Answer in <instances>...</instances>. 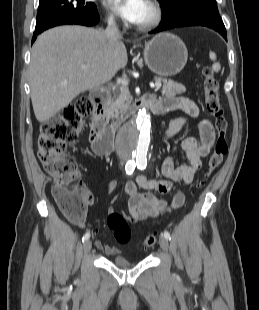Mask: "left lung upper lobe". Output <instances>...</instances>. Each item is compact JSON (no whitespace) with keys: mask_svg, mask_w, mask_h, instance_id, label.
Segmentation results:
<instances>
[{"mask_svg":"<svg viewBox=\"0 0 259 310\" xmlns=\"http://www.w3.org/2000/svg\"><path fill=\"white\" fill-rule=\"evenodd\" d=\"M164 8L161 24L174 23L192 16L220 18L216 0H159Z\"/></svg>","mask_w":259,"mask_h":310,"instance_id":"1","label":"left lung upper lobe"}]
</instances>
